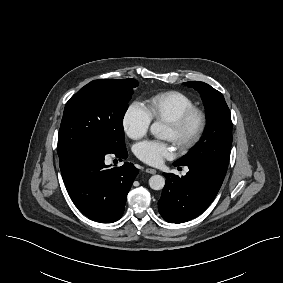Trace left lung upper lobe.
<instances>
[{
	"label": "left lung upper lobe",
	"instance_id": "1",
	"mask_svg": "<svg viewBox=\"0 0 283 283\" xmlns=\"http://www.w3.org/2000/svg\"><path fill=\"white\" fill-rule=\"evenodd\" d=\"M196 89L207 112V128L198 145L187 155L177 160L178 165L206 166L222 175L226 174L232 144V121L223 95L210 85L199 82H185Z\"/></svg>",
	"mask_w": 283,
	"mask_h": 283
}]
</instances>
